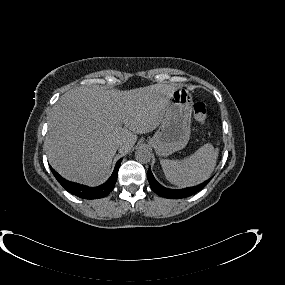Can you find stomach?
Segmentation results:
<instances>
[{"instance_id":"0dacf381","label":"stomach","mask_w":285,"mask_h":285,"mask_svg":"<svg viewBox=\"0 0 285 285\" xmlns=\"http://www.w3.org/2000/svg\"><path fill=\"white\" fill-rule=\"evenodd\" d=\"M192 106L191 95L187 89L177 87L173 90L164 119L150 139L157 155L168 156L187 145L191 132Z\"/></svg>"}]
</instances>
